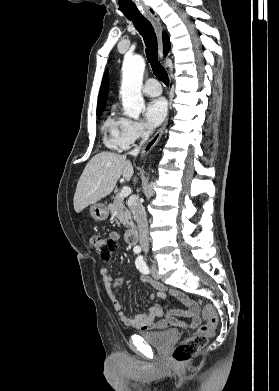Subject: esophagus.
I'll return each instance as SVG.
<instances>
[{
  "label": "esophagus",
  "instance_id": "1",
  "mask_svg": "<svg viewBox=\"0 0 279 391\" xmlns=\"http://www.w3.org/2000/svg\"><path fill=\"white\" fill-rule=\"evenodd\" d=\"M149 19L152 21L155 30L159 37V47H160V56L162 57V40H161V33H162V25L160 22V19L158 15L155 12H152L149 16ZM168 120H166L163 125L157 130V132L154 134V136L148 141V143L143 147L141 156L147 154L160 140L166 126H167Z\"/></svg>",
  "mask_w": 279,
  "mask_h": 391
}]
</instances>
